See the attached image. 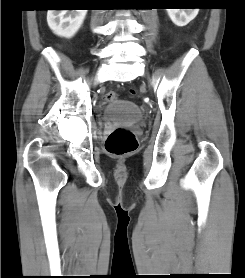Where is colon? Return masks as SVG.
<instances>
[{
  "label": "colon",
  "instance_id": "obj_1",
  "mask_svg": "<svg viewBox=\"0 0 245 278\" xmlns=\"http://www.w3.org/2000/svg\"><path fill=\"white\" fill-rule=\"evenodd\" d=\"M131 94H134V90H130ZM117 98L114 92H107L105 99L107 101H113ZM138 142L134 134L127 128L118 127L115 128L108 136L105 149L108 154L114 158H121L131 155L136 151Z\"/></svg>",
  "mask_w": 245,
  "mask_h": 278
}]
</instances>
